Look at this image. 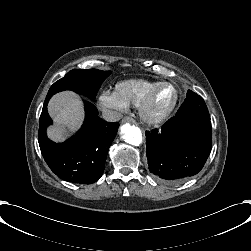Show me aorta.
I'll return each mask as SVG.
<instances>
[{
	"mask_svg": "<svg viewBox=\"0 0 251 251\" xmlns=\"http://www.w3.org/2000/svg\"><path fill=\"white\" fill-rule=\"evenodd\" d=\"M121 134L124 141L128 144L139 146L142 143L141 130L136 126L123 125L121 127Z\"/></svg>",
	"mask_w": 251,
	"mask_h": 251,
	"instance_id": "aorta-1",
	"label": "aorta"
}]
</instances>
